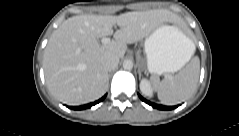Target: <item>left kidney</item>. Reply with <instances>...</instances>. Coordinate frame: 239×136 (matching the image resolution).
<instances>
[{"mask_svg": "<svg viewBox=\"0 0 239 136\" xmlns=\"http://www.w3.org/2000/svg\"><path fill=\"white\" fill-rule=\"evenodd\" d=\"M140 90L143 94H145L148 97H153V88L151 86V83L147 79H142L140 82Z\"/></svg>", "mask_w": 239, "mask_h": 136, "instance_id": "obj_1", "label": "left kidney"}]
</instances>
